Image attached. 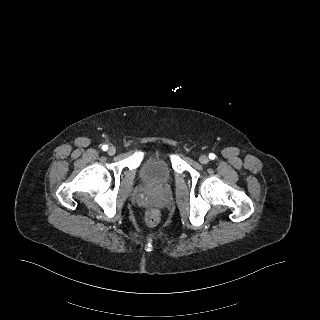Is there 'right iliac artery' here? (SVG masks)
<instances>
[{
    "label": "right iliac artery",
    "mask_w": 320,
    "mask_h": 320,
    "mask_svg": "<svg viewBox=\"0 0 320 320\" xmlns=\"http://www.w3.org/2000/svg\"><path fill=\"white\" fill-rule=\"evenodd\" d=\"M107 149H108V146H107V145H103V146H102V150H103V151H106Z\"/></svg>",
    "instance_id": "obj_1"
}]
</instances>
